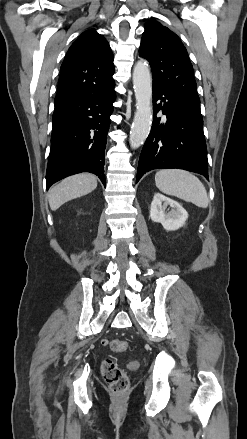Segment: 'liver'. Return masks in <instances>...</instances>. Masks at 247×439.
Here are the masks:
<instances>
[{"instance_id": "liver-1", "label": "liver", "mask_w": 247, "mask_h": 439, "mask_svg": "<svg viewBox=\"0 0 247 439\" xmlns=\"http://www.w3.org/2000/svg\"><path fill=\"white\" fill-rule=\"evenodd\" d=\"M97 187V179L89 173L76 174L63 179L53 186L48 194L51 210L55 211L64 203L87 195Z\"/></svg>"}]
</instances>
